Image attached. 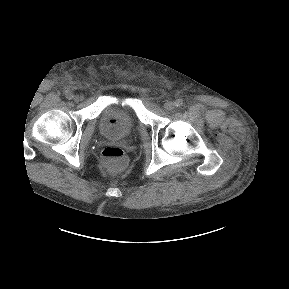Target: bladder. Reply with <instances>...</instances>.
Wrapping results in <instances>:
<instances>
[{
    "mask_svg": "<svg viewBox=\"0 0 289 289\" xmlns=\"http://www.w3.org/2000/svg\"><path fill=\"white\" fill-rule=\"evenodd\" d=\"M98 126L104 137L120 140L130 137L136 131L138 121L128 105L113 104L102 110Z\"/></svg>",
    "mask_w": 289,
    "mask_h": 289,
    "instance_id": "bladder-1",
    "label": "bladder"
}]
</instances>
